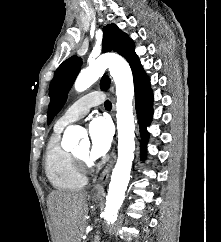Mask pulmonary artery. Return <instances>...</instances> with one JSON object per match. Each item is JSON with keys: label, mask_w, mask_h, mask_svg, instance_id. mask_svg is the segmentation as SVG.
Returning a JSON list of instances; mask_svg holds the SVG:
<instances>
[{"label": "pulmonary artery", "mask_w": 221, "mask_h": 242, "mask_svg": "<svg viewBox=\"0 0 221 242\" xmlns=\"http://www.w3.org/2000/svg\"><path fill=\"white\" fill-rule=\"evenodd\" d=\"M104 99V96L99 92H91L80 97L75 101L61 117L57 120L55 126L64 128L65 126L81 119L90 110L91 107L99 105Z\"/></svg>", "instance_id": "obj_1"}]
</instances>
